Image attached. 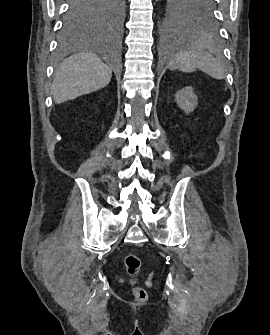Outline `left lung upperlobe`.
Returning a JSON list of instances; mask_svg holds the SVG:
<instances>
[{
  "label": "left lung upper lobe",
  "mask_w": 270,
  "mask_h": 335,
  "mask_svg": "<svg viewBox=\"0 0 270 335\" xmlns=\"http://www.w3.org/2000/svg\"><path fill=\"white\" fill-rule=\"evenodd\" d=\"M161 17L167 30L207 34L218 30L213 0H162Z\"/></svg>",
  "instance_id": "5c2ea615"
}]
</instances>
